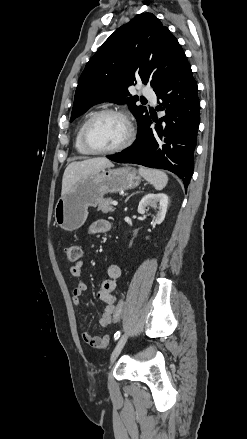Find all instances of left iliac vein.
<instances>
[{"mask_svg":"<svg viewBox=\"0 0 247 439\" xmlns=\"http://www.w3.org/2000/svg\"><path fill=\"white\" fill-rule=\"evenodd\" d=\"M127 338H128V334L125 333V334L119 339V341H118L116 347L114 348V350H113V352H112V354H111V358H110L111 363H113V362L116 360V358L118 357V355L120 354L121 350L123 349V347H124V345H125V343H126V341H127Z\"/></svg>","mask_w":247,"mask_h":439,"instance_id":"4c4485c4","label":"left iliac vein"}]
</instances>
